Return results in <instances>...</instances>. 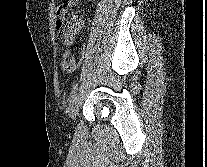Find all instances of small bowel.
Returning <instances> with one entry per match:
<instances>
[{
    "instance_id": "c3829d8e",
    "label": "small bowel",
    "mask_w": 207,
    "mask_h": 167,
    "mask_svg": "<svg viewBox=\"0 0 207 167\" xmlns=\"http://www.w3.org/2000/svg\"><path fill=\"white\" fill-rule=\"evenodd\" d=\"M83 27V22L79 21L78 27H77V31L79 33V31L82 29ZM73 42H67L66 40L63 39V44L67 47L62 61H61V66L64 70H66L67 72H73L76 69V58L74 56V53L72 52V50L70 49V46L72 45Z\"/></svg>"
}]
</instances>
